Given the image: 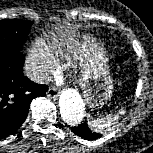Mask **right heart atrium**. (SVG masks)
<instances>
[{
    "instance_id": "obj_1",
    "label": "right heart atrium",
    "mask_w": 153,
    "mask_h": 153,
    "mask_svg": "<svg viewBox=\"0 0 153 153\" xmlns=\"http://www.w3.org/2000/svg\"><path fill=\"white\" fill-rule=\"evenodd\" d=\"M26 68L36 81H44L55 70L56 62L48 48L40 40L33 42L28 50Z\"/></svg>"
}]
</instances>
